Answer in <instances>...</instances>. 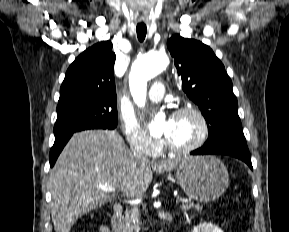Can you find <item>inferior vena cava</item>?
I'll return each mask as SVG.
<instances>
[{
  "label": "inferior vena cava",
  "mask_w": 289,
  "mask_h": 232,
  "mask_svg": "<svg viewBox=\"0 0 289 232\" xmlns=\"http://www.w3.org/2000/svg\"><path fill=\"white\" fill-rule=\"evenodd\" d=\"M132 153L137 159H139V160H141L143 162H147L148 161V159L145 156H143L140 151H138L136 149H132Z\"/></svg>",
  "instance_id": "obj_1"
}]
</instances>
